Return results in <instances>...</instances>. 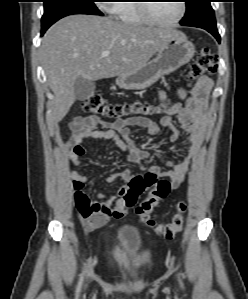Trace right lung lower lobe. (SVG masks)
<instances>
[{
	"label": "right lung lower lobe",
	"instance_id": "98d812e1",
	"mask_svg": "<svg viewBox=\"0 0 248 299\" xmlns=\"http://www.w3.org/2000/svg\"><path fill=\"white\" fill-rule=\"evenodd\" d=\"M45 31H46V30H42V35L44 34Z\"/></svg>",
	"mask_w": 248,
	"mask_h": 299
}]
</instances>
